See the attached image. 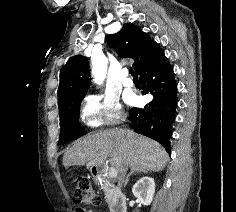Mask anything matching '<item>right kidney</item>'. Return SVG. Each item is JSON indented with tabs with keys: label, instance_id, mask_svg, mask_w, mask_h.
Instances as JSON below:
<instances>
[{
	"label": "right kidney",
	"instance_id": "right-kidney-1",
	"mask_svg": "<svg viewBox=\"0 0 236 212\" xmlns=\"http://www.w3.org/2000/svg\"><path fill=\"white\" fill-rule=\"evenodd\" d=\"M133 195L143 205H150L155 193V182L152 177H142L138 180L132 188Z\"/></svg>",
	"mask_w": 236,
	"mask_h": 212
}]
</instances>
